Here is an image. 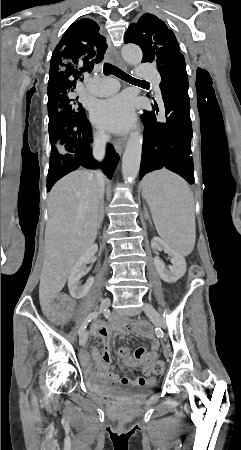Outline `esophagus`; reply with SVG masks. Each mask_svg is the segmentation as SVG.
<instances>
[{
	"label": "esophagus",
	"instance_id": "1",
	"mask_svg": "<svg viewBox=\"0 0 241 450\" xmlns=\"http://www.w3.org/2000/svg\"><path fill=\"white\" fill-rule=\"evenodd\" d=\"M110 60H112L116 65H118L120 67H124L123 63H121L119 61V58L116 57L114 50H112V52L110 54ZM124 146H125V142L123 140H117L114 143L115 150L119 155H121V153L123 152Z\"/></svg>",
	"mask_w": 241,
	"mask_h": 450
}]
</instances>
